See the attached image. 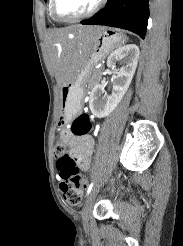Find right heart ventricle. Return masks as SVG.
I'll list each match as a JSON object with an SVG mask.
<instances>
[{
  "mask_svg": "<svg viewBox=\"0 0 183 246\" xmlns=\"http://www.w3.org/2000/svg\"><path fill=\"white\" fill-rule=\"evenodd\" d=\"M49 13H50V16L52 17V14H51V0H49ZM53 18V17H52ZM54 19V18H53Z\"/></svg>",
  "mask_w": 183,
  "mask_h": 246,
  "instance_id": "obj_1",
  "label": "right heart ventricle"
}]
</instances>
